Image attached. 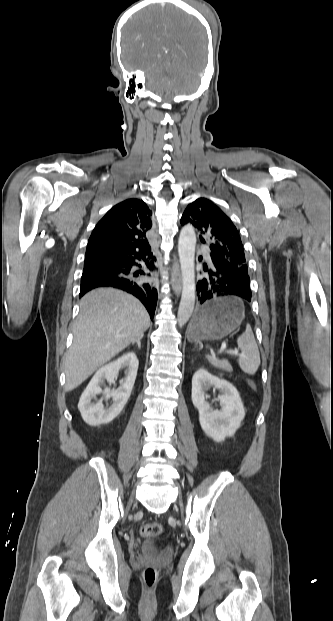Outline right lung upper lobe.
I'll return each instance as SVG.
<instances>
[{"mask_svg": "<svg viewBox=\"0 0 333 621\" xmlns=\"http://www.w3.org/2000/svg\"><path fill=\"white\" fill-rule=\"evenodd\" d=\"M152 211L139 199L131 198L113 206L95 226L85 258L107 254L143 253L151 247L146 238Z\"/></svg>", "mask_w": 333, "mask_h": 621, "instance_id": "right-lung-upper-lobe-1", "label": "right lung upper lobe"}]
</instances>
